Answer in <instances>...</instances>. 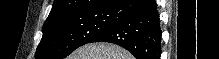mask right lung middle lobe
I'll list each match as a JSON object with an SVG mask.
<instances>
[{
  "label": "right lung middle lobe",
  "instance_id": "right-lung-middle-lobe-1",
  "mask_svg": "<svg viewBox=\"0 0 219 59\" xmlns=\"http://www.w3.org/2000/svg\"><path fill=\"white\" fill-rule=\"evenodd\" d=\"M118 21L114 9L66 15L47 21L36 59H63Z\"/></svg>",
  "mask_w": 219,
  "mask_h": 59
}]
</instances>
